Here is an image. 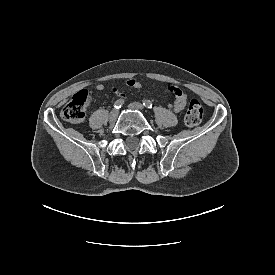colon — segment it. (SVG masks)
<instances>
[{"mask_svg": "<svg viewBox=\"0 0 275 275\" xmlns=\"http://www.w3.org/2000/svg\"><path fill=\"white\" fill-rule=\"evenodd\" d=\"M92 93L88 90H80L72 99L64 105L61 116L72 123H81L86 118V105L91 100ZM204 115V108L200 101L193 99L185 114V123L188 126H196L200 123Z\"/></svg>", "mask_w": 275, "mask_h": 275, "instance_id": "1", "label": "colon"}]
</instances>
